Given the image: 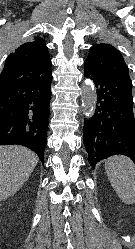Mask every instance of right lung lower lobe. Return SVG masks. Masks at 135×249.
Returning <instances> with one entry per match:
<instances>
[{
    "mask_svg": "<svg viewBox=\"0 0 135 249\" xmlns=\"http://www.w3.org/2000/svg\"><path fill=\"white\" fill-rule=\"evenodd\" d=\"M52 76L0 86V145H23L44 164Z\"/></svg>",
    "mask_w": 135,
    "mask_h": 249,
    "instance_id": "98d812e1",
    "label": "right lung lower lobe"
}]
</instances>
